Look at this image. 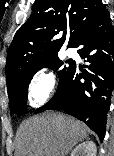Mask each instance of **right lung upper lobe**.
Here are the masks:
<instances>
[{
  "mask_svg": "<svg viewBox=\"0 0 114 156\" xmlns=\"http://www.w3.org/2000/svg\"><path fill=\"white\" fill-rule=\"evenodd\" d=\"M106 9L101 0H35L30 18L15 33L7 53V86L21 73L57 56L70 33L68 47ZM58 34L62 38L55 39Z\"/></svg>",
  "mask_w": 114,
  "mask_h": 156,
  "instance_id": "obj_1",
  "label": "right lung upper lobe"
}]
</instances>
